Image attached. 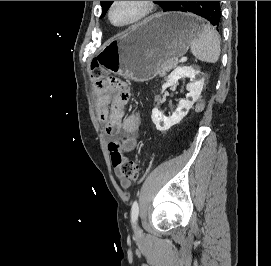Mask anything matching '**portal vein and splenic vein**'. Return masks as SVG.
<instances>
[{"mask_svg": "<svg viewBox=\"0 0 271 266\" xmlns=\"http://www.w3.org/2000/svg\"><path fill=\"white\" fill-rule=\"evenodd\" d=\"M186 60H187L186 57H182V58L179 60V62H180V63H184V62H186Z\"/></svg>", "mask_w": 271, "mask_h": 266, "instance_id": "1", "label": "portal vein and splenic vein"}]
</instances>
